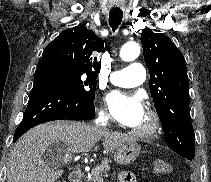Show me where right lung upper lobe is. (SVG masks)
<instances>
[{"label": "right lung upper lobe", "mask_w": 211, "mask_h": 182, "mask_svg": "<svg viewBox=\"0 0 211 182\" xmlns=\"http://www.w3.org/2000/svg\"><path fill=\"white\" fill-rule=\"evenodd\" d=\"M104 42L84 24L63 31L50 42L42 54V60L72 66L91 76H98L101 62L93 54L101 52Z\"/></svg>", "instance_id": "right-lung-upper-lobe-1"}]
</instances>
